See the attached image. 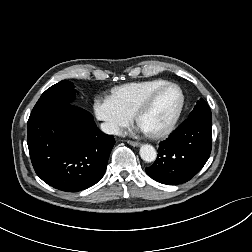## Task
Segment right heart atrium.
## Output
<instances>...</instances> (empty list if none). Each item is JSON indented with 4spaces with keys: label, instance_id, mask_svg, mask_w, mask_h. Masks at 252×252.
<instances>
[{
    "label": "right heart atrium",
    "instance_id": "d8ad5b80",
    "mask_svg": "<svg viewBox=\"0 0 252 252\" xmlns=\"http://www.w3.org/2000/svg\"><path fill=\"white\" fill-rule=\"evenodd\" d=\"M93 111L108 134H119L133 119V115L121 108L111 96H98L93 101Z\"/></svg>",
    "mask_w": 252,
    "mask_h": 252
}]
</instances>
